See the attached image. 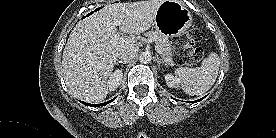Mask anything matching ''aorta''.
<instances>
[{
    "mask_svg": "<svg viewBox=\"0 0 276 138\" xmlns=\"http://www.w3.org/2000/svg\"><path fill=\"white\" fill-rule=\"evenodd\" d=\"M152 60V55L149 51H143L139 55V61L143 64H148Z\"/></svg>",
    "mask_w": 276,
    "mask_h": 138,
    "instance_id": "obj_1",
    "label": "aorta"
}]
</instances>
